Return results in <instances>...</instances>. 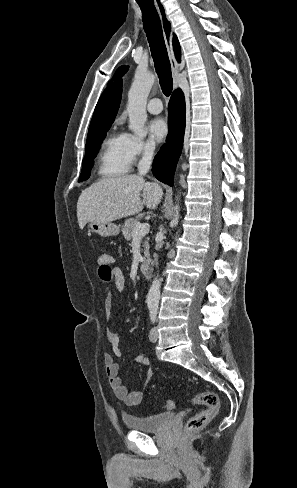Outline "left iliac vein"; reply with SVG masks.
Returning a JSON list of instances; mask_svg holds the SVG:
<instances>
[{
    "label": "left iliac vein",
    "instance_id": "obj_1",
    "mask_svg": "<svg viewBox=\"0 0 297 488\" xmlns=\"http://www.w3.org/2000/svg\"><path fill=\"white\" fill-rule=\"evenodd\" d=\"M149 339L151 342H156L158 340V331L156 327H153L149 334Z\"/></svg>",
    "mask_w": 297,
    "mask_h": 488
}]
</instances>
